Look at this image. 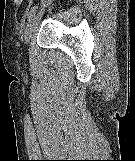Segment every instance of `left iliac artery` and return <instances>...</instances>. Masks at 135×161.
Segmentation results:
<instances>
[{"label":"left iliac artery","mask_w":135,"mask_h":161,"mask_svg":"<svg viewBox=\"0 0 135 161\" xmlns=\"http://www.w3.org/2000/svg\"><path fill=\"white\" fill-rule=\"evenodd\" d=\"M38 6L35 5L31 8L29 14H28V20H31L34 16H35V13H36V10H37Z\"/></svg>","instance_id":"1"}]
</instances>
